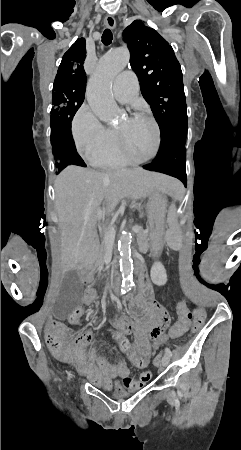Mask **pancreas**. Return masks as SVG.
<instances>
[{"label": "pancreas", "instance_id": "pancreas-1", "mask_svg": "<svg viewBox=\"0 0 241 450\" xmlns=\"http://www.w3.org/2000/svg\"><path fill=\"white\" fill-rule=\"evenodd\" d=\"M140 228V229H139ZM137 231L134 232H138V237H137V242L136 245L137 246H141L140 248L142 250H151L152 246L148 245V237L146 236V232L144 227H137ZM109 242H107V240H103V242H101V246H100V250H99V258L97 260V266H99V270H102L104 264H105V254L107 252V246H108Z\"/></svg>", "mask_w": 241, "mask_h": 450}]
</instances>
